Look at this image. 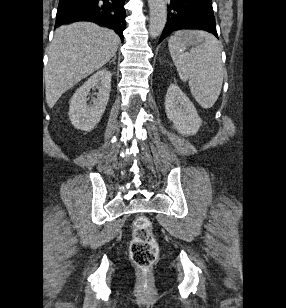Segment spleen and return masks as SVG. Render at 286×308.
Masks as SVG:
<instances>
[{
	"label": "spleen",
	"instance_id": "spleen-1",
	"mask_svg": "<svg viewBox=\"0 0 286 308\" xmlns=\"http://www.w3.org/2000/svg\"><path fill=\"white\" fill-rule=\"evenodd\" d=\"M196 35L203 43L186 51L182 39ZM169 52L180 79L188 81L192 96L204 109L213 107L223 84V64L219 41L205 31H176L168 41Z\"/></svg>",
	"mask_w": 286,
	"mask_h": 308
}]
</instances>
